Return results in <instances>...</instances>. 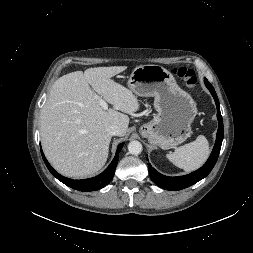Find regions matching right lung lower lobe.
<instances>
[{
	"label": "right lung lower lobe",
	"instance_id": "right-lung-lower-lobe-1",
	"mask_svg": "<svg viewBox=\"0 0 253 253\" xmlns=\"http://www.w3.org/2000/svg\"><path fill=\"white\" fill-rule=\"evenodd\" d=\"M124 143H121L116 151V155L113 159V161L111 162V164L107 167V169L102 172L101 174H99L96 177L93 178H89V179H83V180H73V179H69L66 178L60 174H58L48 163V161L46 160L43 152L41 151L43 160L47 166V168L49 169V171L52 173V175H54V177H56L58 180H60L62 183H64L65 185L79 190V191H83V192H89V191H95V190H99L101 188H103L104 186H106L108 183H110V181L112 180L114 173H115V169L118 163V157H119V153L123 147Z\"/></svg>",
	"mask_w": 253,
	"mask_h": 253
}]
</instances>
